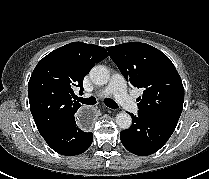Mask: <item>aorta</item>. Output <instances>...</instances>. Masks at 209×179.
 I'll list each match as a JSON object with an SVG mask.
<instances>
[{"label":"aorta","mask_w":209,"mask_h":179,"mask_svg":"<svg viewBox=\"0 0 209 179\" xmlns=\"http://www.w3.org/2000/svg\"><path fill=\"white\" fill-rule=\"evenodd\" d=\"M89 75L91 81L96 85H105L108 83L110 78L109 70L103 65L94 66ZM116 124L121 129H128L132 124V118L126 112L118 113L116 115Z\"/></svg>","instance_id":"aorta-1"}]
</instances>
